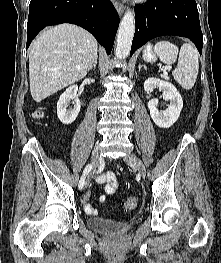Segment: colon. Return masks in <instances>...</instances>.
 <instances>
[{
	"label": "colon",
	"instance_id": "1",
	"mask_svg": "<svg viewBox=\"0 0 221 263\" xmlns=\"http://www.w3.org/2000/svg\"><path fill=\"white\" fill-rule=\"evenodd\" d=\"M35 118H41L42 114L41 112H35L34 114ZM139 205V200L135 196L127 197L122 202V209L124 211H133L135 210Z\"/></svg>",
	"mask_w": 221,
	"mask_h": 263
}]
</instances>
